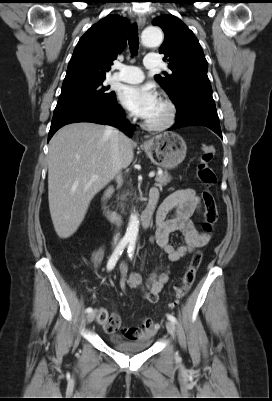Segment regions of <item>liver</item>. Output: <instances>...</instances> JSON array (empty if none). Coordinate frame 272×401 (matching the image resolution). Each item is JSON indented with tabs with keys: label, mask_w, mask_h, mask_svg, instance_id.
<instances>
[{
	"label": "liver",
	"mask_w": 272,
	"mask_h": 401,
	"mask_svg": "<svg viewBox=\"0 0 272 401\" xmlns=\"http://www.w3.org/2000/svg\"><path fill=\"white\" fill-rule=\"evenodd\" d=\"M106 129L107 126L95 123H72L62 127L50 141L48 200L54 229L60 238L76 232L92 198L115 176ZM133 157L132 141L121 139V168L126 169Z\"/></svg>",
	"instance_id": "1"
}]
</instances>
